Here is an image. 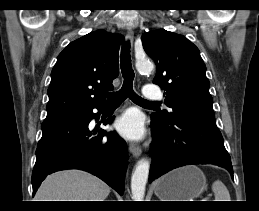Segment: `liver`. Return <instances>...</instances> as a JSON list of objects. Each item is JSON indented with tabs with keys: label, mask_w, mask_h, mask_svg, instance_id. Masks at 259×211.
I'll use <instances>...</instances> for the list:
<instances>
[{
	"label": "liver",
	"mask_w": 259,
	"mask_h": 211,
	"mask_svg": "<svg viewBox=\"0 0 259 211\" xmlns=\"http://www.w3.org/2000/svg\"><path fill=\"white\" fill-rule=\"evenodd\" d=\"M110 187L96 176L81 170L49 175L38 189L35 201H105Z\"/></svg>",
	"instance_id": "6515ba94"
}]
</instances>
